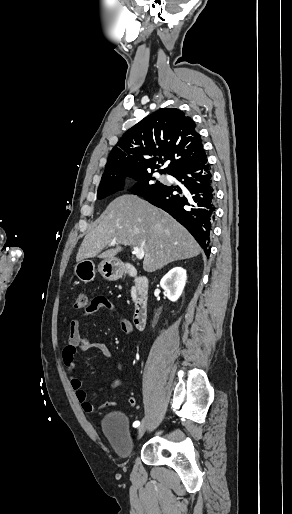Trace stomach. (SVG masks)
Here are the masks:
<instances>
[{
	"mask_svg": "<svg viewBox=\"0 0 292 514\" xmlns=\"http://www.w3.org/2000/svg\"><path fill=\"white\" fill-rule=\"evenodd\" d=\"M98 272L105 280H108V282H116V280L122 278L125 268L118 258H105V260L100 262ZM74 274L77 276L78 280H81L84 284L93 282L96 274L95 264H93L91 260H80V262H77L76 266H74Z\"/></svg>",
	"mask_w": 292,
	"mask_h": 514,
	"instance_id": "0dacf381",
	"label": "stomach"
}]
</instances>
